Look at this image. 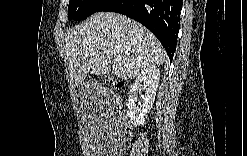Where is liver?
Listing matches in <instances>:
<instances>
[{"label": "liver", "mask_w": 247, "mask_h": 156, "mask_svg": "<svg viewBox=\"0 0 247 156\" xmlns=\"http://www.w3.org/2000/svg\"><path fill=\"white\" fill-rule=\"evenodd\" d=\"M66 58L71 80L82 83L91 71L96 75L112 73L132 79L149 66L162 65L166 52L157 38L128 17L99 12L67 31ZM119 57V61L114 59ZM114 61V63H113Z\"/></svg>", "instance_id": "6515ba94"}]
</instances>
